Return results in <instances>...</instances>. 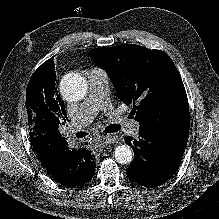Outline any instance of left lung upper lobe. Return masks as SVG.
Returning <instances> with one entry per match:
<instances>
[{
	"mask_svg": "<svg viewBox=\"0 0 219 219\" xmlns=\"http://www.w3.org/2000/svg\"><path fill=\"white\" fill-rule=\"evenodd\" d=\"M90 58L107 71L118 97L133 104L139 132L187 141L190 116L186 91L171 58L160 50L121 44L95 48Z\"/></svg>",
	"mask_w": 219,
	"mask_h": 219,
	"instance_id": "5c2ea615",
	"label": "left lung upper lobe"
}]
</instances>
